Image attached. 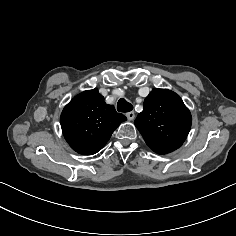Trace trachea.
I'll use <instances>...</instances> for the list:
<instances>
[{
	"instance_id": "3493384b",
	"label": "trachea",
	"mask_w": 236,
	"mask_h": 236,
	"mask_svg": "<svg viewBox=\"0 0 236 236\" xmlns=\"http://www.w3.org/2000/svg\"><path fill=\"white\" fill-rule=\"evenodd\" d=\"M117 110L119 112H130L133 110V105L124 98L119 99L117 103Z\"/></svg>"
}]
</instances>
